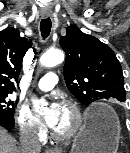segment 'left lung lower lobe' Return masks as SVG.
Masks as SVG:
<instances>
[{
  "label": "left lung lower lobe",
  "instance_id": "obj_1",
  "mask_svg": "<svg viewBox=\"0 0 130 153\" xmlns=\"http://www.w3.org/2000/svg\"><path fill=\"white\" fill-rule=\"evenodd\" d=\"M119 101L124 102L125 100H124V99H121V100H119Z\"/></svg>",
  "mask_w": 130,
  "mask_h": 153
}]
</instances>
